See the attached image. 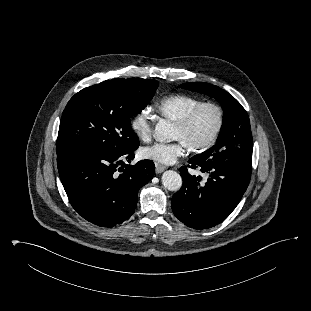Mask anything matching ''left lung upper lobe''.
Returning <instances> with one entry per match:
<instances>
[{
    "mask_svg": "<svg viewBox=\"0 0 311 311\" xmlns=\"http://www.w3.org/2000/svg\"><path fill=\"white\" fill-rule=\"evenodd\" d=\"M181 88L206 94L223 106V124L216 144L193 159L199 161L241 160L252 162L253 139L250 120L242 105L228 92L204 82L185 83Z\"/></svg>",
    "mask_w": 311,
    "mask_h": 311,
    "instance_id": "obj_1",
    "label": "left lung upper lobe"
}]
</instances>
